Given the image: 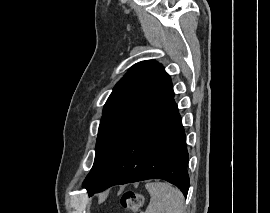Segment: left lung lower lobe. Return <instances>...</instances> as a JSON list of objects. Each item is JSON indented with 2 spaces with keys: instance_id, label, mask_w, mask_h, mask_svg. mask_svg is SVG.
<instances>
[{
  "instance_id": "left-lung-lower-lobe-1",
  "label": "left lung lower lobe",
  "mask_w": 270,
  "mask_h": 213,
  "mask_svg": "<svg viewBox=\"0 0 270 213\" xmlns=\"http://www.w3.org/2000/svg\"><path fill=\"white\" fill-rule=\"evenodd\" d=\"M187 165L185 132L172 92L139 125L90 195L118 184L164 179L186 196Z\"/></svg>"
}]
</instances>
